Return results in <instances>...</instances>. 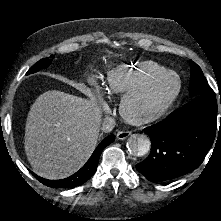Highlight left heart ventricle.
<instances>
[{
    "instance_id": "left-heart-ventricle-1",
    "label": "left heart ventricle",
    "mask_w": 221,
    "mask_h": 221,
    "mask_svg": "<svg viewBox=\"0 0 221 221\" xmlns=\"http://www.w3.org/2000/svg\"><path fill=\"white\" fill-rule=\"evenodd\" d=\"M176 86L175 77L171 76L158 85L150 92V94L141 102L142 107L154 106L162 102Z\"/></svg>"
}]
</instances>
